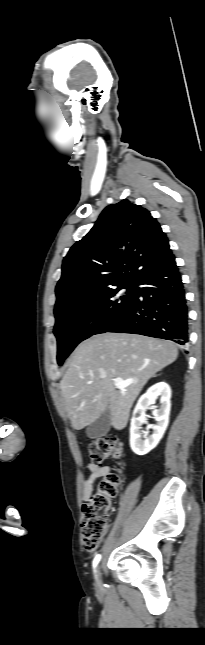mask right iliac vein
Instances as JSON below:
<instances>
[{"label": "right iliac vein", "instance_id": "63e3f726", "mask_svg": "<svg viewBox=\"0 0 205 645\" xmlns=\"http://www.w3.org/2000/svg\"><path fill=\"white\" fill-rule=\"evenodd\" d=\"M97 578H98V585L101 584V570L100 567L97 568Z\"/></svg>", "mask_w": 205, "mask_h": 645}]
</instances>
